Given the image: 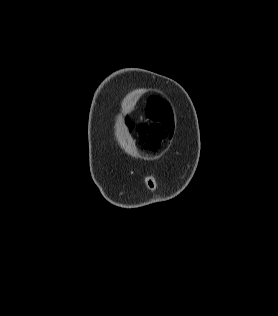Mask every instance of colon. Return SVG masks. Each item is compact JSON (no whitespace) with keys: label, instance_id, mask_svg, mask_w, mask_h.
I'll use <instances>...</instances> for the list:
<instances>
[{"label":"colon","instance_id":"1","mask_svg":"<svg viewBox=\"0 0 278 316\" xmlns=\"http://www.w3.org/2000/svg\"><path fill=\"white\" fill-rule=\"evenodd\" d=\"M141 144L152 151L157 150L167 137L165 127L158 123L137 127Z\"/></svg>","mask_w":278,"mask_h":316}]
</instances>
